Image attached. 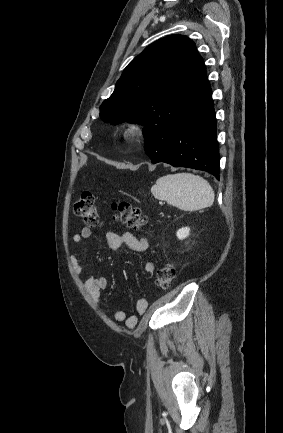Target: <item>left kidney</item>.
Instances as JSON below:
<instances>
[{
    "label": "left kidney",
    "instance_id": "5707ae66",
    "mask_svg": "<svg viewBox=\"0 0 283 433\" xmlns=\"http://www.w3.org/2000/svg\"><path fill=\"white\" fill-rule=\"evenodd\" d=\"M189 234H190V228L189 227H183V228L179 229L176 233L177 238L179 240L185 239L186 237L189 236Z\"/></svg>",
    "mask_w": 283,
    "mask_h": 433
}]
</instances>
